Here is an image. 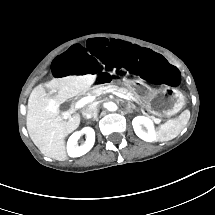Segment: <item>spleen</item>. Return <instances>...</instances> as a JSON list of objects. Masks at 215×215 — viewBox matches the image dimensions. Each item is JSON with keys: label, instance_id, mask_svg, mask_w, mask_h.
Segmentation results:
<instances>
[{"label": "spleen", "instance_id": "3e777b00", "mask_svg": "<svg viewBox=\"0 0 215 215\" xmlns=\"http://www.w3.org/2000/svg\"><path fill=\"white\" fill-rule=\"evenodd\" d=\"M187 112V111H185ZM187 121H184L182 117L168 120L166 123L161 125L156 133L158 141H169L179 135L181 130L185 127Z\"/></svg>", "mask_w": 215, "mask_h": 215}]
</instances>
